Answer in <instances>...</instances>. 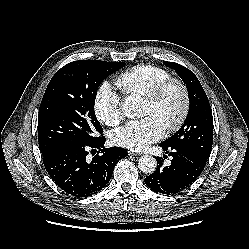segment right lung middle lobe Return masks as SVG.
<instances>
[{
    "label": "right lung middle lobe",
    "instance_id": "right-lung-middle-lobe-1",
    "mask_svg": "<svg viewBox=\"0 0 249 249\" xmlns=\"http://www.w3.org/2000/svg\"><path fill=\"white\" fill-rule=\"evenodd\" d=\"M124 62L79 60L66 64L50 80L38 114V142L42 155L102 134L94 112L97 89Z\"/></svg>",
    "mask_w": 249,
    "mask_h": 249
}]
</instances>
